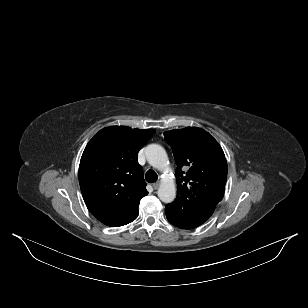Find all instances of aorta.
I'll return each instance as SVG.
<instances>
[{"label":"aorta","mask_w":308,"mask_h":308,"mask_svg":"<svg viewBox=\"0 0 308 308\" xmlns=\"http://www.w3.org/2000/svg\"><path fill=\"white\" fill-rule=\"evenodd\" d=\"M145 156L148 163L159 170H165L168 166V157L165 149L158 144H150L146 147ZM158 197L164 203H171L176 196V185L171 178H164L158 189Z\"/></svg>","instance_id":"762f6f07"}]
</instances>
